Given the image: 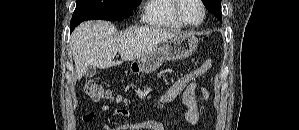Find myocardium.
<instances>
[{"mask_svg": "<svg viewBox=\"0 0 299 130\" xmlns=\"http://www.w3.org/2000/svg\"><path fill=\"white\" fill-rule=\"evenodd\" d=\"M183 0H174V13L176 18L185 26L187 27H199L201 24H203L205 18H206V7L202 0H196L198 4L201 7L202 10V17L199 22L197 23H191L188 20L185 19V17L181 13V4Z\"/></svg>", "mask_w": 299, "mask_h": 130, "instance_id": "f54148a6", "label": "myocardium"}]
</instances>
